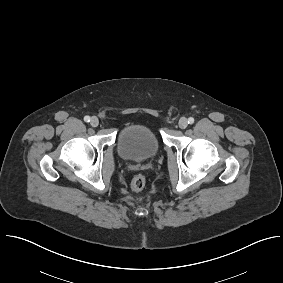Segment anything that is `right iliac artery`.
<instances>
[{
    "label": "right iliac artery",
    "mask_w": 283,
    "mask_h": 283,
    "mask_svg": "<svg viewBox=\"0 0 283 283\" xmlns=\"http://www.w3.org/2000/svg\"><path fill=\"white\" fill-rule=\"evenodd\" d=\"M84 121H85V122H90V117H89V116H85V117H84Z\"/></svg>",
    "instance_id": "82829eb1"
}]
</instances>
